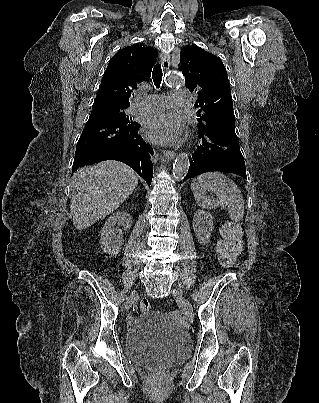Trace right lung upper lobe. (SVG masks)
Listing matches in <instances>:
<instances>
[{"mask_svg":"<svg viewBox=\"0 0 319 403\" xmlns=\"http://www.w3.org/2000/svg\"><path fill=\"white\" fill-rule=\"evenodd\" d=\"M157 56L152 47L138 44L119 50L109 61L93 104L128 107L137 84L150 78Z\"/></svg>","mask_w":319,"mask_h":403,"instance_id":"1","label":"right lung upper lobe"}]
</instances>
